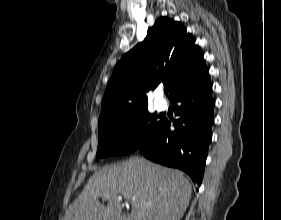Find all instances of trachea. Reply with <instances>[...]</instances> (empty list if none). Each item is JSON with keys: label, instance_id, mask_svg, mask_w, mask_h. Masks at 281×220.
Segmentation results:
<instances>
[{"label": "trachea", "instance_id": "3493384b", "mask_svg": "<svg viewBox=\"0 0 281 220\" xmlns=\"http://www.w3.org/2000/svg\"><path fill=\"white\" fill-rule=\"evenodd\" d=\"M168 91H169V89L166 87V88L164 89L165 94H167Z\"/></svg>", "mask_w": 281, "mask_h": 220}]
</instances>
